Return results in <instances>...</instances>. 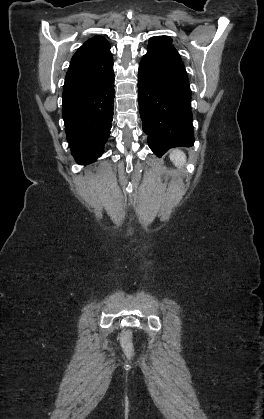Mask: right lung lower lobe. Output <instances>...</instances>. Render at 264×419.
Segmentation results:
<instances>
[{"instance_id": "1", "label": "right lung lower lobe", "mask_w": 264, "mask_h": 419, "mask_svg": "<svg viewBox=\"0 0 264 419\" xmlns=\"http://www.w3.org/2000/svg\"><path fill=\"white\" fill-rule=\"evenodd\" d=\"M114 72L95 84L64 88L62 115L67 140L78 164L102 155L113 120Z\"/></svg>"}]
</instances>
